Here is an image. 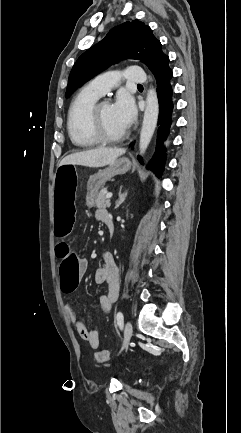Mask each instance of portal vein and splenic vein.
Masks as SVG:
<instances>
[{
    "mask_svg": "<svg viewBox=\"0 0 241 433\" xmlns=\"http://www.w3.org/2000/svg\"><path fill=\"white\" fill-rule=\"evenodd\" d=\"M112 196H113V194L110 192V193H108V194L106 195V198H107V199H110Z\"/></svg>",
    "mask_w": 241,
    "mask_h": 433,
    "instance_id": "obj_1",
    "label": "portal vein and splenic vein"
}]
</instances>
